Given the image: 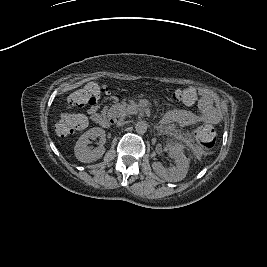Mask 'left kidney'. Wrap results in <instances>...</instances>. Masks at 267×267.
Instances as JSON below:
<instances>
[{"label": "left kidney", "mask_w": 267, "mask_h": 267, "mask_svg": "<svg viewBox=\"0 0 267 267\" xmlns=\"http://www.w3.org/2000/svg\"><path fill=\"white\" fill-rule=\"evenodd\" d=\"M166 148L175 159L176 165L172 167L164 166L161 162L152 163L155 173L168 181H176L186 176L189 168V158L184 154L181 146L174 144L172 141L166 142Z\"/></svg>", "instance_id": "obj_1"}]
</instances>
